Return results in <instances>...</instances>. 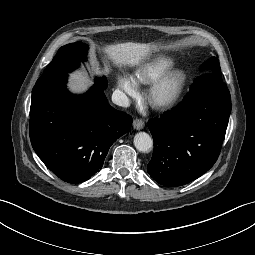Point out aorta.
Masks as SVG:
<instances>
[{
    "mask_svg": "<svg viewBox=\"0 0 255 255\" xmlns=\"http://www.w3.org/2000/svg\"><path fill=\"white\" fill-rule=\"evenodd\" d=\"M134 145L140 152H148L153 147V140L149 134L139 132L134 136Z\"/></svg>",
    "mask_w": 255,
    "mask_h": 255,
    "instance_id": "aorta-1",
    "label": "aorta"
}]
</instances>
